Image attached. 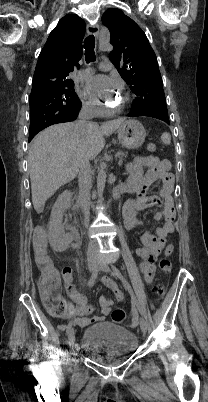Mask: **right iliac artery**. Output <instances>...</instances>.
Returning <instances> with one entry per match:
<instances>
[{"instance_id":"obj_1","label":"right iliac artery","mask_w":208,"mask_h":402,"mask_svg":"<svg viewBox=\"0 0 208 402\" xmlns=\"http://www.w3.org/2000/svg\"><path fill=\"white\" fill-rule=\"evenodd\" d=\"M98 272H99V270L96 268L95 271L92 273L89 281H88V287H92L94 285V282H95V280H96V278L98 276ZM72 325H73V321H70L68 326H67V329H66V335H69V333H70V331L72 329Z\"/></svg>"}]
</instances>
